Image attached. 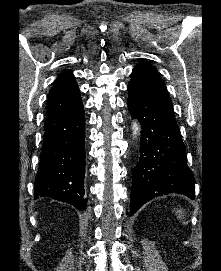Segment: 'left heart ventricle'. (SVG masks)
Wrapping results in <instances>:
<instances>
[{
  "instance_id": "left-heart-ventricle-1",
  "label": "left heart ventricle",
  "mask_w": 221,
  "mask_h": 271,
  "mask_svg": "<svg viewBox=\"0 0 221 271\" xmlns=\"http://www.w3.org/2000/svg\"><path fill=\"white\" fill-rule=\"evenodd\" d=\"M145 87H156V86H145Z\"/></svg>"
}]
</instances>
